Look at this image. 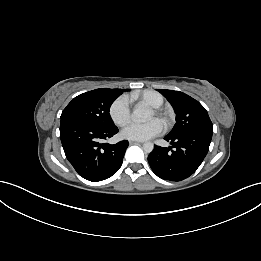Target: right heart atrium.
<instances>
[{
  "label": "right heart atrium",
  "mask_w": 261,
  "mask_h": 261,
  "mask_svg": "<svg viewBox=\"0 0 261 261\" xmlns=\"http://www.w3.org/2000/svg\"><path fill=\"white\" fill-rule=\"evenodd\" d=\"M109 114L112 121L118 126L126 125L131 116L130 101L127 96H120L113 101Z\"/></svg>",
  "instance_id": "obj_1"
}]
</instances>
